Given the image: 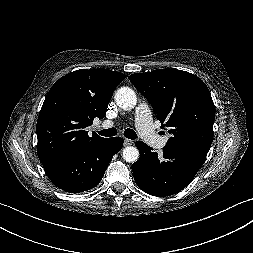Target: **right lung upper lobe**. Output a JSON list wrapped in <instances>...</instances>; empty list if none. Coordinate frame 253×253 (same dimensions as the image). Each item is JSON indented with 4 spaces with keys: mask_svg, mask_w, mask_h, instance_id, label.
Listing matches in <instances>:
<instances>
[{
    "mask_svg": "<svg viewBox=\"0 0 253 253\" xmlns=\"http://www.w3.org/2000/svg\"><path fill=\"white\" fill-rule=\"evenodd\" d=\"M123 73L109 69H80L61 77L49 90L37 126L40 161L60 152L84 149L105 140L86 127L102 119Z\"/></svg>",
    "mask_w": 253,
    "mask_h": 253,
    "instance_id": "right-lung-upper-lobe-1",
    "label": "right lung upper lobe"
}]
</instances>
